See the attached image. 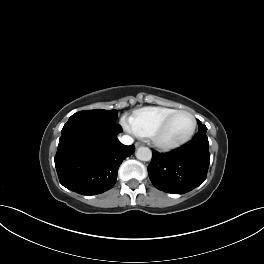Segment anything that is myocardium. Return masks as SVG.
<instances>
[{
	"label": "myocardium",
	"mask_w": 264,
	"mask_h": 264,
	"mask_svg": "<svg viewBox=\"0 0 264 264\" xmlns=\"http://www.w3.org/2000/svg\"><path fill=\"white\" fill-rule=\"evenodd\" d=\"M185 113L188 114L192 120V127L190 132L183 138L175 140V141H165L163 140V134L167 130L171 120L178 114ZM197 128V121L195 116L188 110L179 109L173 111L171 114H169L163 122L154 130V132L151 135V141L153 145L163 151L173 150L177 149L186 143H188L194 136L195 131Z\"/></svg>",
	"instance_id": "f54148a6"
}]
</instances>
